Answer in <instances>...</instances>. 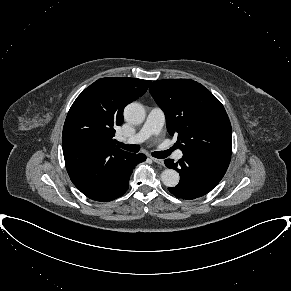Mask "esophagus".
<instances>
[{
    "label": "esophagus",
    "instance_id": "1",
    "mask_svg": "<svg viewBox=\"0 0 291 291\" xmlns=\"http://www.w3.org/2000/svg\"><path fill=\"white\" fill-rule=\"evenodd\" d=\"M151 159H152L155 163H157V164H159V165H164V160H162V159H158V158H155V157H151Z\"/></svg>",
    "mask_w": 291,
    "mask_h": 291
}]
</instances>
